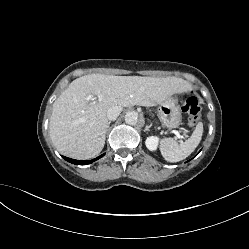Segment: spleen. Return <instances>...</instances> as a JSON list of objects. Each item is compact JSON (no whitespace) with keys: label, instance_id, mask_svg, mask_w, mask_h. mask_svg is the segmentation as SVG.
Instances as JSON below:
<instances>
[{"label":"spleen","instance_id":"spleen-1","mask_svg":"<svg viewBox=\"0 0 249 249\" xmlns=\"http://www.w3.org/2000/svg\"><path fill=\"white\" fill-rule=\"evenodd\" d=\"M203 134V124L199 122L192 135L185 142L178 144L172 138H165L161 142V153L164 159L174 163L187 158L199 145Z\"/></svg>","mask_w":249,"mask_h":249}]
</instances>
